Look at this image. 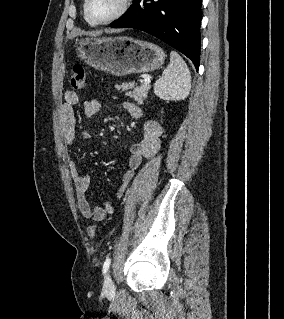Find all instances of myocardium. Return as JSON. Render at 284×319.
<instances>
[{
	"label": "myocardium",
	"mask_w": 284,
	"mask_h": 319,
	"mask_svg": "<svg viewBox=\"0 0 284 319\" xmlns=\"http://www.w3.org/2000/svg\"><path fill=\"white\" fill-rule=\"evenodd\" d=\"M88 4H89V0H84V3H83L84 17L90 24L98 26V25L110 24L118 20L119 18H121L129 10L132 4V0H121L120 5L118 9L116 10V12L113 15H111L109 18L104 20H94L89 14Z\"/></svg>",
	"instance_id": "myocardium-1"
}]
</instances>
